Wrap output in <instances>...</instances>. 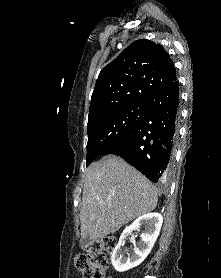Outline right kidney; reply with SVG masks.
I'll use <instances>...</instances> for the list:
<instances>
[{
  "label": "right kidney",
  "instance_id": "right-kidney-1",
  "mask_svg": "<svg viewBox=\"0 0 221 278\" xmlns=\"http://www.w3.org/2000/svg\"><path fill=\"white\" fill-rule=\"evenodd\" d=\"M162 222L163 217L161 214L148 213L136 219L132 225L123 231L111 256V262L116 271H127L140 265L144 261L154 246V243L159 235ZM141 226L145 227V232L140 235L141 240L134 245L133 251L127 253L128 256L126 257L125 252L122 250L124 240L133 230H136Z\"/></svg>",
  "mask_w": 221,
  "mask_h": 278
}]
</instances>
